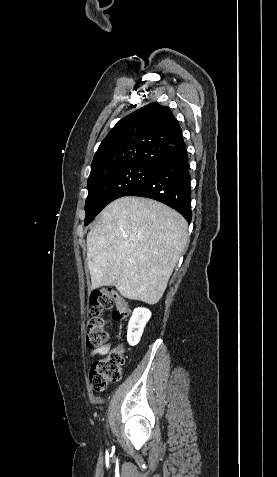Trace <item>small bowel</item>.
<instances>
[{
  "instance_id": "small-bowel-1",
  "label": "small bowel",
  "mask_w": 277,
  "mask_h": 477,
  "mask_svg": "<svg viewBox=\"0 0 277 477\" xmlns=\"http://www.w3.org/2000/svg\"><path fill=\"white\" fill-rule=\"evenodd\" d=\"M110 347H111V343H108V344H105L101 347H98V348H94L92 351H91V356L95 357V356H103V355H106L109 350H110Z\"/></svg>"
}]
</instances>
